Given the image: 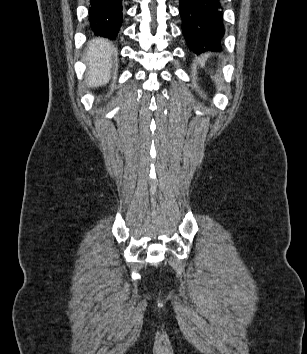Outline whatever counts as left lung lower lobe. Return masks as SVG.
<instances>
[{"instance_id": "0a47b994", "label": "left lung lower lobe", "mask_w": 307, "mask_h": 354, "mask_svg": "<svg viewBox=\"0 0 307 354\" xmlns=\"http://www.w3.org/2000/svg\"><path fill=\"white\" fill-rule=\"evenodd\" d=\"M182 31L189 49L199 54L221 49L224 36L220 0H179Z\"/></svg>"}]
</instances>
